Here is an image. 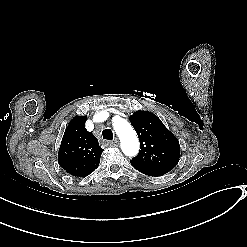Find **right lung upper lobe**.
Masks as SVG:
<instances>
[{"instance_id": "cb5924a9", "label": "right lung upper lobe", "mask_w": 247, "mask_h": 247, "mask_svg": "<svg viewBox=\"0 0 247 247\" xmlns=\"http://www.w3.org/2000/svg\"><path fill=\"white\" fill-rule=\"evenodd\" d=\"M87 116L74 117L66 128L58 152L59 165L69 174L85 177L100 163L103 149L85 128Z\"/></svg>"}]
</instances>
